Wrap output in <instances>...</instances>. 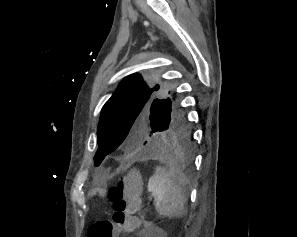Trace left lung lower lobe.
Masks as SVG:
<instances>
[{
    "label": "left lung lower lobe",
    "instance_id": "obj_1",
    "mask_svg": "<svg viewBox=\"0 0 297 237\" xmlns=\"http://www.w3.org/2000/svg\"><path fill=\"white\" fill-rule=\"evenodd\" d=\"M193 138L181 109L167 117L163 129L151 139L147 152L142 157H172L190 167L193 160Z\"/></svg>",
    "mask_w": 297,
    "mask_h": 237
}]
</instances>
